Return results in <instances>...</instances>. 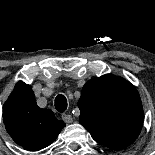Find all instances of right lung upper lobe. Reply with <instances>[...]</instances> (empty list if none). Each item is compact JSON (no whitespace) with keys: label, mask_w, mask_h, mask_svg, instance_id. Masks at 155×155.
I'll use <instances>...</instances> for the list:
<instances>
[{"label":"right lung upper lobe","mask_w":155,"mask_h":155,"mask_svg":"<svg viewBox=\"0 0 155 155\" xmlns=\"http://www.w3.org/2000/svg\"><path fill=\"white\" fill-rule=\"evenodd\" d=\"M8 134L20 146L38 151L50 145L66 126L53 112L39 108L30 85L19 81L3 107Z\"/></svg>","instance_id":"cb5924a9"}]
</instances>
